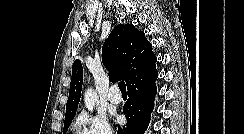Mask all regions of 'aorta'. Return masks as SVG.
Returning <instances> with one entry per match:
<instances>
[{"mask_svg":"<svg viewBox=\"0 0 244 134\" xmlns=\"http://www.w3.org/2000/svg\"><path fill=\"white\" fill-rule=\"evenodd\" d=\"M98 100V95L95 90L93 89H87L84 94V102L85 106L89 111H93L95 104Z\"/></svg>","mask_w":244,"mask_h":134,"instance_id":"762f6f07","label":"aorta"}]
</instances>
